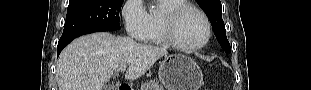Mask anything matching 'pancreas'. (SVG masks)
Listing matches in <instances>:
<instances>
[{
    "mask_svg": "<svg viewBox=\"0 0 311 90\" xmlns=\"http://www.w3.org/2000/svg\"><path fill=\"white\" fill-rule=\"evenodd\" d=\"M141 90H164L158 81L145 82L141 85Z\"/></svg>",
    "mask_w": 311,
    "mask_h": 90,
    "instance_id": "obj_1",
    "label": "pancreas"
}]
</instances>
